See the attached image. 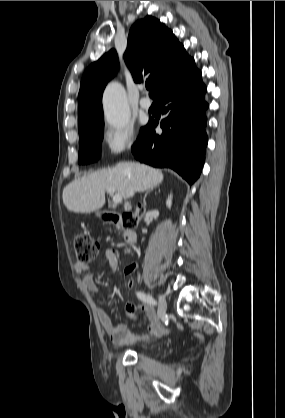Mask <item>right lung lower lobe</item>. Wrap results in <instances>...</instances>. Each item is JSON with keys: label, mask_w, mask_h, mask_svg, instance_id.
Returning a JSON list of instances; mask_svg holds the SVG:
<instances>
[{"label": "right lung lower lobe", "mask_w": 285, "mask_h": 418, "mask_svg": "<svg viewBox=\"0 0 285 418\" xmlns=\"http://www.w3.org/2000/svg\"><path fill=\"white\" fill-rule=\"evenodd\" d=\"M205 93L198 69L166 89L157 99L167 114L160 123L163 132L155 133L158 120L150 118L132 146L134 157L154 167L171 168L193 184L200 176L208 142Z\"/></svg>", "instance_id": "obj_1"}]
</instances>
